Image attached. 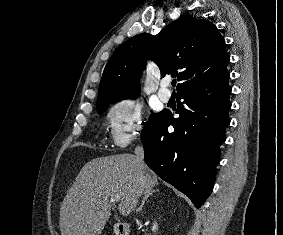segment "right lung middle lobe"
Segmentation results:
<instances>
[{"label": "right lung middle lobe", "mask_w": 283, "mask_h": 235, "mask_svg": "<svg viewBox=\"0 0 283 235\" xmlns=\"http://www.w3.org/2000/svg\"><path fill=\"white\" fill-rule=\"evenodd\" d=\"M117 101H106V102H102V103H97V110H98V113L101 114L103 113L107 108L108 106L111 104V103H115ZM159 113H155L153 115H151L150 119L148 122L145 123V127L144 129H146L147 127H149L151 125V123L154 121V119L158 116ZM143 129V130H144Z\"/></svg>", "instance_id": "obj_1"}]
</instances>
